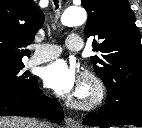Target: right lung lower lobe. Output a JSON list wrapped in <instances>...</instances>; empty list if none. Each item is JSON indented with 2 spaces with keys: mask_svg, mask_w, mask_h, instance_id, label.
I'll return each mask as SVG.
<instances>
[{
  "mask_svg": "<svg viewBox=\"0 0 142 128\" xmlns=\"http://www.w3.org/2000/svg\"><path fill=\"white\" fill-rule=\"evenodd\" d=\"M35 116L60 123L63 108L54 98H48L39 90L38 83L30 91L17 95L0 96V116Z\"/></svg>",
  "mask_w": 142,
  "mask_h": 128,
  "instance_id": "98d812e1",
  "label": "right lung lower lobe"
}]
</instances>
